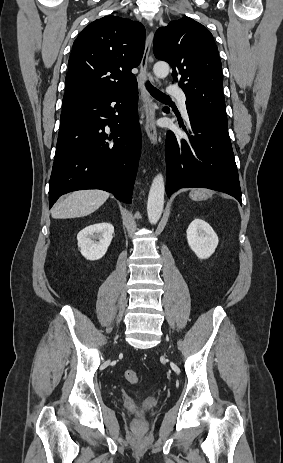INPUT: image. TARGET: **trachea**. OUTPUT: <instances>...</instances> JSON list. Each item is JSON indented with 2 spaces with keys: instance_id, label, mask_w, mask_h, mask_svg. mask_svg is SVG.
<instances>
[{
  "instance_id": "trachea-1",
  "label": "trachea",
  "mask_w": 283,
  "mask_h": 463,
  "mask_svg": "<svg viewBox=\"0 0 283 463\" xmlns=\"http://www.w3.org/2000/svg\"><path fill=\"white\" fill-rule=\"evenodd\" d=\"M146 88L149 91V93L156 98L157 100L160 101H170L169 96L166 94L162 93L160 90L155 88L153 85H151L149 82L146 83Z\"/></svg>"
}]
</instances>
